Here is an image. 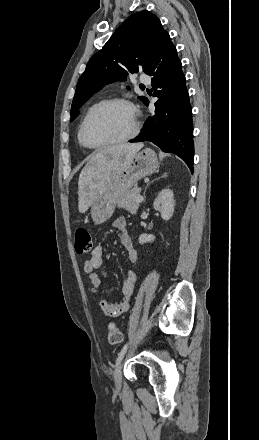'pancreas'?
I'll return each mask as SVG.
<instances>
[{
	"mask_svg": "<svg viewBox=\"0 0 259 440\" xmlns=\"http://www.w3.org/2000/svg\"><path fill=\"white\" fill-rule=\"evenodd\" d=\"M141 189L133 188L128 193H126L118 202L117 206L119 208H124L131 214H136L139 208V202L136 201L137 197L140 196Z\"/></svg>",
	"mask_w": 259,
	"mask_h": 440,
	"instance_id": "obj_1",
	"label": "pancreas"
}]
</instances>
